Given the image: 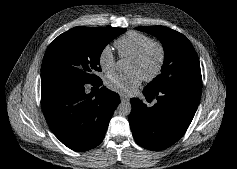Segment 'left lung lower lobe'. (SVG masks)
Returning a JSON list of instances; mask_svg holds the SVG:
<instances>
[{
  "label": "left lung lower lobe",
  "mask_w": 237,
  "mask_h": 169,
  "mask_svg": "<svg viewBox=\"0 0 237 169\" xmlns=\"http://www.w3.org/2000/svg\"><path fill=\"white\" fill-rule=\"evenodd\" d=\"M202 84H182L155 92L144 90L147 99H157L152 107L132 98L129 123L136 142L149 150H163L177 142L189 127L197 110Z\"/></svg>",
  "instance_id": "1"
}]
</instances>
